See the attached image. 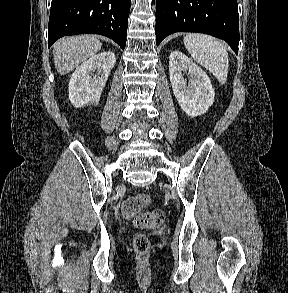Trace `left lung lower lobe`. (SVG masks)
<instances>
[{
  "label": "left lung lower lobe",
  "mask_w": 288,
  "mask_h": 293,
  "mask_svg": "<svg viewBox=\"0 0 288 293\" xmlns=\"http://www.w3.org/2000/svg\"><path fill=\"white\" fill-rule=\"evenodd\" d=\"M175 32L215 36L238 54L237 0H156V45Z\"/></svg>",
  "instance_id": "0a47b994"
}]
</instances>
